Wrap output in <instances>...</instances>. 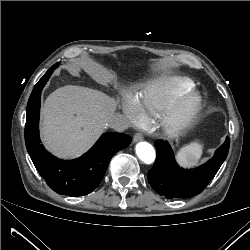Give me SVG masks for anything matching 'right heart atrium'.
<instances>
[{
  "mask_svg": "<svg viewBox=\"0 0 250 250\" xmlns=\"http://www.w3.org/2000/svg\"><path fill=\"white\" fill-rule=\"evenodd\" d=\"M123 110H124V114H125L127 120L130 123L138 124V123L144 121L140 107L134 98L128 97L126 99V101L124 103Z\"/></svg>",
  "mask_w": 250,
  "mask_h": 250,
  "instance_id": "d8ad5b80",
  "label": "right heart atrium"
}]
</instances>
